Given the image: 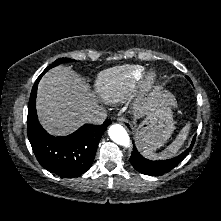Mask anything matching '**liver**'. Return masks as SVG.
Returning <instances> with one entry per match:
<instances>
[{"mask_svg": "<svg viewBox=\"0 0 221 221\" xmlns=\"http://www.w3.org/2000/svg\"><path fill=\"white\" fill-rule=\"evenodd\" d=\"M36 109L44 129L58 136L72 133L85 123L86 114L100 108L79 74L70 67L57 66L38 84Z\"/></svg>", "mask_w": 221, "mask_h": 221, "instance_id": "6515ba94", "label": "liver"}]
</instances>
